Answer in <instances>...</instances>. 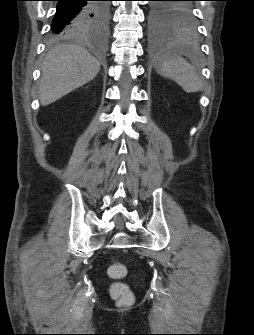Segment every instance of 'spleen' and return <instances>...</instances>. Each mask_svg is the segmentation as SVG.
Wrapping results in <instances>:
<instances>
[{"label":"spleen","mask_w":254,"mask_h":335,"mask_svg":"<svg viewBox=\"0 0 254 335\" xmlns=\"http://www.w3.org/2000/svg\"><path fill=\"white\" fill-rule=\"evenodd\" d=\"M157 72L163 77L172 79L187 93L201 91L202 80L195 69L169 45L157 59Z\"/></svg>","instance_id":"1"}]
</instances>
